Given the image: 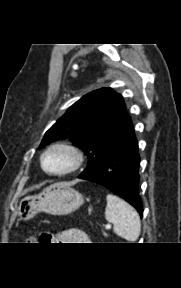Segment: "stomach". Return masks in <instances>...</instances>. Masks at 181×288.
<instances>
[{
	"mask_svg": "<svg viewBox=\"0 0 181 288\" xmlns=\"http://www.w3.org/2000/svg\"><path fill=\"white\" fill-rule=\"evenodd\" d=\"M83 203L82 194L73 189L70 184L55 183L37 195L22 198L18 215L22 221L33 218L39 212L67 215L76 211Z\"/></svg>",
	"mask_w": 181,
	"mask_h": 288,
	"instance_id": "1",
	"label": "stomach"
}]
</instances>
